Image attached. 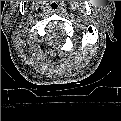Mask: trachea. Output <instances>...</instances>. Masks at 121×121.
<instances>
[{
    "mask_svg": "<svg viewBox=\"0 0 121 121\" xmlns=\"http://www.w3.org/2000/svg\"><path fill=\"white\" fill-rule=\"evenodd\" d=\"M50 8L53 12H58L60 10L61 6L57 2H53L50 4Z\"/></svg>",
    "mask_w": 121,
    "mask_h": 121,
    "instance_id": "obj_1",
    "label": "trachea"
}]
</instances>
